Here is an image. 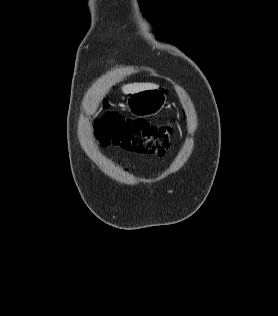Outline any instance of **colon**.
I'll return each instance as SVG.
<instances>
[{
  "mask_svg": "<svg viewBox=\"0 0 278 316\" xmlns=\"http://www.w3.org/2000/svg\"><path fill=\"white\" fill-rule=\"evenodd\" d=\"M172 135V126H157L116 112L104 114L96 124V137L102 147L115 146L149 155L164 156Z\"/></svg>",
  "mask_w": 278,
  "mask_h": 316,
  "instance_id": "colon-1",
  "label": "colon"
}]
</instances>
